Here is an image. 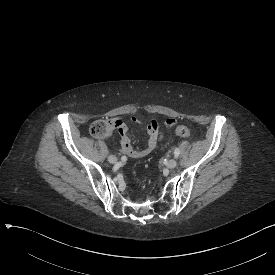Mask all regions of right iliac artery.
I'll list each match as a JSON object with an SVG mask.
<instances>
[{
	"label": "right iliac artery",
	"mask_w": 275,
	"mask_h": 275,
	"mask_svg": "<svg viewBox=\"0 0 275 275\" xmlns=\"http://www.w3.org/2000/svg\"><path fill=\"white\" fill-rule=\"evenodd\" d=\"M121 160H122V161H126L127 158H126L125 156H123V157L121 158Z\"/></svg>",
	"instance_id": "obj_1"
}]
</instances>
